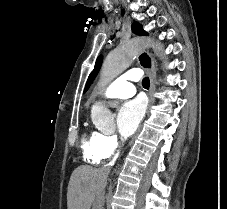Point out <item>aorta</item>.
<instances>
[{
    "label": "aorta",
    "mask_w": 227,
    "mask_h": 209,
    "mask_svg": "<svg viewBox=\"0 0 227 209\" xmlns=\"http://www.w3.org/2000/svg\"><path fill=\"white\" fill-rule=\"evenodd\" d=\"M152 47L158 51L160 57L162 55L163 46L159 43L153 42L151 39L136 38L121 44L118 48L111 51L106 59L104 60L101 73H100V84L102 86L107 85L116 76L122 73L128 68L133 58L140 52L144 47ZM109 111L102 105H93L91 109V116L96 119L102 114H107Z\"/></svg>",
    "instance_id": "762f6f07"
}]
</instances>
